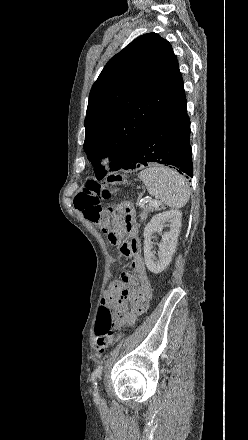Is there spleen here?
Here are the masks:
<instances>
[{"mask_svg": "<svg viewBox=\"0 0 248 440\" xmlns=\"http://www.w3.org/2000/svg\"><path fill=\"white\" fill-rule=\"evenodd\" d=\"M138 176L149 194L159 202L174 209L187 204L190 197L189 188L177 171L161 165H152L141 171Z\"/></svg>", "mask_w": 248, "mask_h": 440, "instance_id": "1", "label": "spleen"}]
</instances>
